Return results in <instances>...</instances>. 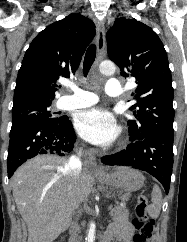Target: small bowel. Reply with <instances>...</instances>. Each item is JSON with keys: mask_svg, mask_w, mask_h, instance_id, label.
Listing matches in <instances>:
<instances>
[{"mask_svg": "<svg viewBox=\"0 0 187 242\" xmlns=\"http://www.w3.org/2000/svg\"><path fill=\"white\" fill-rule=\"evenodd\" d=\"M106 234L111 238L117 237V242H131L134 234V227L125 220H119L109 226Z\"/></svg>", "mask_w": 187, "mask_h": 242, "instance_id": "1", "label": "small bowel"}]
</instances>
